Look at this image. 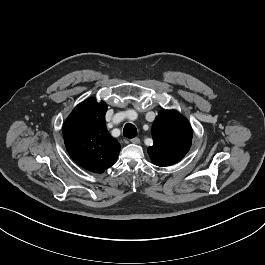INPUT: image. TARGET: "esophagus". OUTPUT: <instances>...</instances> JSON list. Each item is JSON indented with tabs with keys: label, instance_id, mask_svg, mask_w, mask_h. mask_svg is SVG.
Masks as SVG:
<instances>
[{
	"label": "esophagus",
	"instance_id": "1",
	"mask_svg": "<svg viewBox=\"0 0 265 265\" xmlns=\"http://www.w3.org/2000/svg\"><path fill=\"white\" fill-rule=\"evenodd\" d=\"M131 143H133V144H139L140 143V139L139 138H133V139H131Z\"/></svg>",
	"mask_w": 265,
	"mask_h": 265
}]
</instances>
